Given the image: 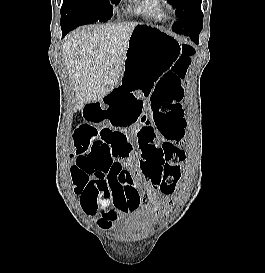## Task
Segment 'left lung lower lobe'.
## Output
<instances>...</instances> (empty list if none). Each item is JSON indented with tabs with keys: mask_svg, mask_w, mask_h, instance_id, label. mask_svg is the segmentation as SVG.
I'll return each mask as SVG.
<instances>
[{
	"mask_svg": "<svg viewBox=\"0 0 265 273\" xmlns=\"http://www.w3.org/2000/svg\"><path fill=\"white\" fill-rule=\"evenodd\" d=\"M202 27L203 17L198 13H193L183 17L179 23H175L173 25V31L178 34L189 36L193 42L198 43V37Z\"/></svg>",
	"mask_w": 265,
	"mask_h": 273,
	"instance_id": "1",
	"label": "left lung lower lobe"
}]
</instances>
